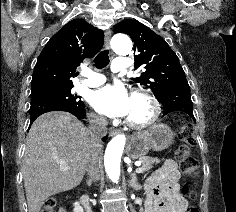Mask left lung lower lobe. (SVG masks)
Listing matches in <instances>:
<instances>
[{
    "label": "left lung lower lobe",
    "mask_w": 236,
    "mask_h": 212,
    "mask_svg": "<svg viewBox=\"0 0 236 212\" xmlns=\"http://www.w3.org/2000/svg\"><path fill=\"white\" fill-rule=\"evenodd\" d=\"M158 101L163 105V116L170 112L181 111L187 113L195 121L188 82L172 86Z\"/></svg>",
    "instance_id": "1"
}]
</instances>
